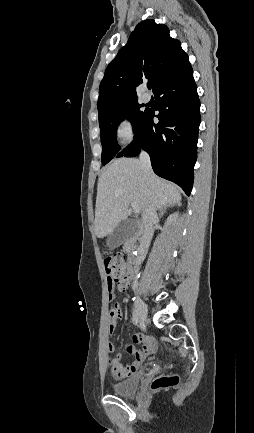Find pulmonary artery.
<instances>
[{
	"mask_svg": "<svg viewBox=\"0 0 254 433\" xmlns=\"http://www.w3.org/2000/svg\"><path fill=\"white\" fill-rule=\"evenodd\" d=\"M143 99H144V102H149L150 97L147 93H145Z\"/></svg>",
	"mask_w": 254,
	"mask_h": 433,
	"instance_id": "e3ab8cb5",
	"label": "pulmonary artery"
}]
</instances>
